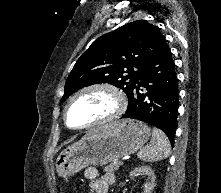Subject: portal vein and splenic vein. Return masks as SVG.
<instances>
[{"instance_id": "obj_1", "label": "portal vein and splenic vein", "mask_w": 221, "mask_h": 193, "mask_svg": "<svg viewBox=\"0 0 221 193\" xmlns=\"http://www.w3.org/2000/svg\"><path fill=\"white\" fill-rule=\"evenodd\" d=\"M119 162H120L121 165H123V162H122V161H119Z\"/></svg>"}]
</instances>
